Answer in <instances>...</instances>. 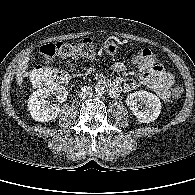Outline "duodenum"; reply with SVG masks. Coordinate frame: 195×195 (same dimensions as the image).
I'll return each instance as SVG.
<instances>
[{"instance_id": "obj_1", "label": "duodenum", "mask_w": 195, "mask_h": 195, "mask_svg": "<svg viewBox=\"0 0 195 195\" xmlns=\"http://www.w3.org/2000/svg\"><path fill=\"white\" fill-rule=\"evenodd\" d=\"M106 86H109L110 88H112V85L109 83H105Z\"/></svg>"}]
</instances>
